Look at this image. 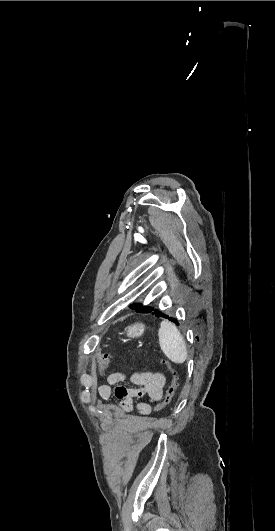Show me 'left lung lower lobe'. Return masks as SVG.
<instances>
[{"label": "left lung lower lobe", "instance_id": "obj_1", "mask_svg": "<svg viewBox=\"0 0 275 531\" xmlns=\"http://www.w3.org/2000/svg\"><path fill=\"white\" fill-rule=\"evenodd\" d=\"M152 310H153V309H151V310H149V311H145V312H143V313H148V312H151ZM154 314H155L156 316H161V317H164V318L169 319L170 321L176 322V324L178 325L176 319H173L172 317H168L167 315H164V314H162V313L159 312V311H155Z\"/></svg>", "mask_w": 275, "mask_h": 531}]
</instances>
